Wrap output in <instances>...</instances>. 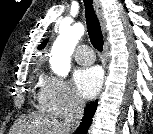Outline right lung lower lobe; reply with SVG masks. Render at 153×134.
<instances>
[{
	"label": "right lung lower lobe",
	"mask_w": 153,
	"mask_h": 134,
	"mask_svg": "<svg viewBox=\"0 0 153 134\" xmlns=\"http://www.w3.org/2000/svg\"><path fill=\"white\" fill-rule=\"evenodd\" d=\"M97 107V101L90 103L84 110V117L80 126L78 127L76 133L77 134H85L87 133L90 124L92 123V118L95 113Z\"/></svg>",
	"instance_id": "98d812e1"
}]
</instances>
